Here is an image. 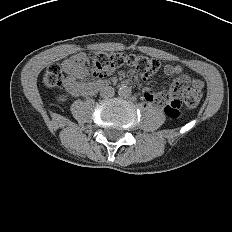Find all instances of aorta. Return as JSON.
<instances>
[{
	"instance_id": "aorta-1",
	"label": "aorta",
	"mask_w": 232,
	"mask_h": 232,
	"mask_svg": "<svg viewBox=\"0 0 232 232\" xmlns=\"http://www.w3.org/2000/svg\"><path fill=\"white\" fill-rule=\"evenodd\" d=\"M118 93L121 97L128 98L131 96L132 90L129 86L123 85L119 88Z\"/></svg>"
}]
</instances>
